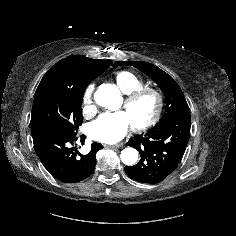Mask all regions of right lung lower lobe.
<instances>
[{
  "instance_id": "98d812e1",
  "label": "right lung lower lobe",
  "mask_w": 236,
  "mask_h": 236,
  "mask_svg": "<svg viewBox=\"0 0 236 236\" xmlns=\"http://www.w3.org/2000/svg\"><path fill=\"white\" fill-rule=\"evenodd\" d=\"M35 151L46 170L57 180L75 183L89 177L96 165V152L103 148L93 143L91 151L80 154L77 137L47 128H31ZM85 136H81L83 142Z\"/></svg>"
}]
</instances>
